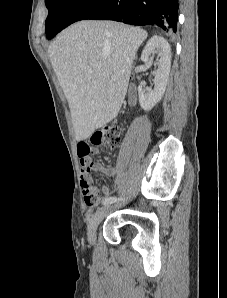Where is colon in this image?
I'll list each match as a JSON object with an SVG mask.
<instances>
[{"instance_id":"5ec220e1","label":"colon","mask_w":227,"mask_h":298,"mask_svg":"<svg viewBox=\"0 0 227 298\" xmlns=\"http://www.w3.org/2000/svg\"><path fill=\"white\" fill-rule=\"evenodd\" d=\"M120 140V129L115 125H108L96 131L91 136L89 146L115 147L120 143ZM84 189L85 202L89 205H95L99 199L98 195L90 190L88 185H85Z\"/></svg>"}]
</instances>
